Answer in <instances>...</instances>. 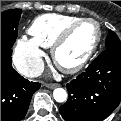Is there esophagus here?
Wrapping results in <instances>:
<instances>
[{"label":"esophagus","mask_w":121,"mask_h":121,"mask_svg":"<svg viewBox=\"0 0 121 121\" xmlns=\"http://www.w3.org/2000/svg\"><path fill=\"white\" fill-rule=\"evenodd\" d=\"M45 86L49 89H54V88L58 87L59 84H57V83H47V84H45Z\"/></svg>","instance_id":"1"}]
</instances>
